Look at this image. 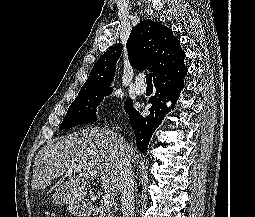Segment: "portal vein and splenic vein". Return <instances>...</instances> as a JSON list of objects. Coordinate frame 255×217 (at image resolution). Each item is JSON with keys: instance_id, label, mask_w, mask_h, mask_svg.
<instances>
[{"instance_id": "portal-vein-and-splenic-vein-1", "label": "portal vein and splenic vein", "mask_w": 255, "mask_h": 217, "mask_svg": "<svg viewBox=\"0 0 255 217\" xmlns=\"http://www.w3.org/2000/svg\"><path fill=\"white\" fill-rule=\"evenodd\" d=\"M75 170H79V167H77L76 165H72L70 167H68V170H67V174L68 175H72V173L75 171ZM89 175L93 176V177H98L97 173L96 172H93V171H88ZM103 204L105 206H111L114 204V197L112 194H109V193H106L104 196H103Z\"/></svg>"}]
</instances>
